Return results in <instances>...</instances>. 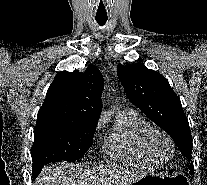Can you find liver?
<instances>
[{
	"mask_svg": "<svg viewBox=\"0 0 207 185\" xmlns=\"http://www.w3.org/2000/svg\"><path fill=\"white\" fill-rule=\"evenodd\" d=\"M85 171L72 163H55L51 167H44L34 185H88L90 175Z\"/></svg>",
	"mask_w": 207,
	"mask_h": 185,
	"instance_id": "1",
	"label": "liver"
}]
</instances>
